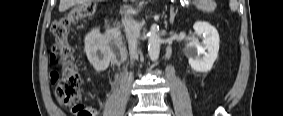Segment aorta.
Masks as SVG:
<instances>
[{
    "label": "aorta",
    "instance_id": "obj_1",
    "mask_svg": "<svg viewBox=\"0 0 283 116\" xmlns=\"http://www.w3.org/2000/svg\"><path fill=\"white\" fill-rule=\"evenodd\" d=\"M161 42L157 25H152L148 33V54L152 61L159 58Z\"/></svg>",
    "mask_w": 283,
    "mask_h": 116
}]
</instances>
